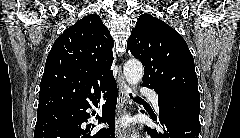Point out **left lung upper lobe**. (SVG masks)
<instances>
[{
    "instance_id": "1",
    "label": "left lung upper lobe",
    "mask_w": 240,
    "mask_h": 138,
    "mask_svg": "<svg viewBox=\"0 0 240 138\" xmlns=\"http://www.w3.org/2000/svg\"><path fill=\"white\" fill-rule=\"evenodd\" d=\"M127 52L144 65L143 86L154 89L159 96L200 95L187 43L160 19L142 14L128 39Z\"/></svg>"
}]
</instances>
